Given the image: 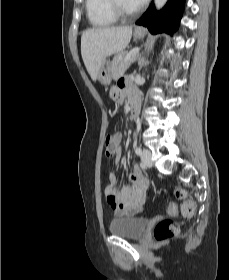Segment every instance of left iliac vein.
<instances>
[{
	"mask_svg": "<svg viewBox=\"0 0 229 280\" xmlns=\"http://www.w3.org/2000/svg\"><path fill=\"white\" fill-rule=\"evenodd\" d=\"M141 161L146 167L152 166L151 152L148 149H143L141 154Z\"/></svg>",
	"mask_w": 229,
	"mask_h": 280,
	"instance_id": "obj_1",
	"label": "left iliac vein"
}]
</instances>
